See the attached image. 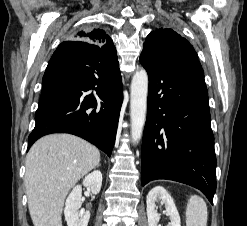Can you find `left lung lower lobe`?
<instances>
[{
    "mask_svg": "<svg viewBox=\"0 0 247 226\" xmlns=\"http://www.w3.org/2000/svg\"><path fill=\"white\" fill-rule=\"evenodd\" d=\"M149 77L141 149L142 185L168 179L202 191L213 204L216 156L208 92L199 61L140 55Z\"/></svg>",
    "mask_w": 247,
    "mask_h": 226,
    "instance_id": "1",
    "label": "left lung lower lobe"
}]
</instances>
